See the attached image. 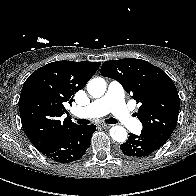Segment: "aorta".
I'll return each instance as SVG.
<instances>
[{"label": "aorta", "mask_w": 196, "mask_h": 196, "mask_svg": "<svg viewBox=\"0 0 196 196\" xmlns=\"http://www.w3.org/2000/svg\"><path fill=\"white\" fill-rule=\"evenodd\" d=\"M106 82L103 78L97 77L91 79L87 83V91L94 98L102 97L106 92ZM110 136L116 142L123 143L127 140V132L126 129L122 126L116 125L110 129Z\"/></svg>", "instance_id": "1"}]
</instances>
